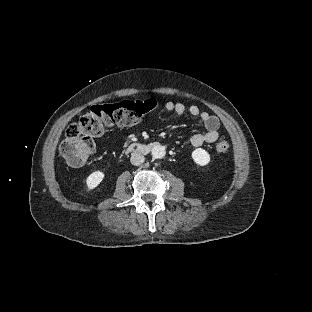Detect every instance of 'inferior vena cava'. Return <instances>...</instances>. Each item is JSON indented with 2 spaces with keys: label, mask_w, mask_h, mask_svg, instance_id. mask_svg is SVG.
Segmentation results:
<instances>
[{
  "label": "inferior vena cava",
  "mask_w": 312,
  "mask_h": 312,
  "mask_svg": "<svg viewBox=\"0 0 312 312\" xmlns=\"http://www.w3.org/2000/svg\"><path fill=\"white\" fill-rule=\"evenodd\" d=\"M145 157L142 154L139 153H132L130 162L132 165L139 166L142 163H144Z\"/></svg>",
  "instance_id": "inferior-vena-cava-1"
}]
</instances>
